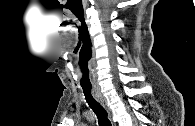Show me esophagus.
Listing matches in <instances>:
<instances>
[{"label": "esophagus", "mask_w": 195, "mask_h": 126, "mask_svg": "<svg viewBox=\"0 0 195 126\" xmlns=\"http://www.w3.org/2000/svg\"><path fill=\"white\" fill-rule=\"evenodd\" d=\"M92 93L94 98L105 107L104 99L102 98L99 88L93 87Z\"/></svg>", "instance_id": "34e87169"}]
</instances>
